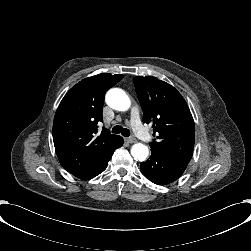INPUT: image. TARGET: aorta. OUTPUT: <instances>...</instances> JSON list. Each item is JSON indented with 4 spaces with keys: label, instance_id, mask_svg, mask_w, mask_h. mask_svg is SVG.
Wrapping results in <instances>:
<instances>
[{
    "label": "aorta",
    "instance_id": "1",
    "mask_svg": "<svg viewBox=\"0 0 251 251\" xmlns=\"http://www.w3.org/2000/svg\"><path fill=\"white\" fill-rule=\"evenodd\" d=\"M108 105L116 111L127 112L130 110L132 102L130 97L121 89L115 88L108 91L106 95ZM149 149L142 143H135L131 148V155L136 161H145L148 157Z\"/></svg>",
    "mask_w": 251,
    "mask_h": 251
}]
</instances>
